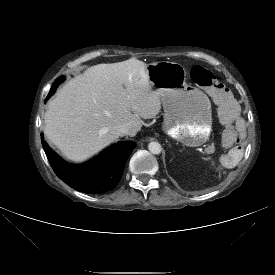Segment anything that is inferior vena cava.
<instances>
[{
  "label": "inferior vena cava",
  "mask_w": 275,
  "mask_h": 275,
  "mask_svg": "<svg viewBox=\"0 0 275 275\" xmlns=\"http://www.w3.org/2000/svg\"><path fill=\"white\" fill-rule=\"evenodd\" d=\"M130 126L129 124L126 123H121V124H117L116 126H114L111 129V133L118 137V136H123V135H129L130 134Z\"/></svg>",
  "instance_id": "1"
}]
</instances>
